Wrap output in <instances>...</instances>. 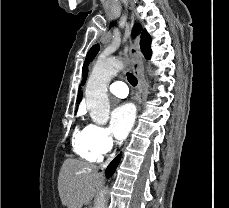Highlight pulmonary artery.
<instances>
[{"instance_id":"1","label":"pulmonary artery","mask_w":229,"mask_h":208,"mask_svg":"<svg viewBox=\"0 0 229 208\" xmlns=\"http://www.w3.org/2000/svg\"><path fill=\"white\" fill-rule=\"evenodd\" d=\"M114 77H111V79ZM109 91L111 94L119 98H125L128 95L127 85L123 81H114L109 86Z\"/></svg>"}]
</instances>
